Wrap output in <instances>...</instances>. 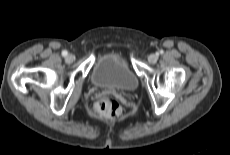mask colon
Returning a JSON list of instances; mask_svg holds the SVG:
<instances>
[{
  "label": "colon",
  "mask_w": 230,
  "mask_h": 155,
  "mask_svg": "<svg viewBox=\"0 0 230 155\" xmlns=\"http://www.w3.org/2000/svg\"><path fill=\"white\" fill-rule=\"evenodd\" d=\"M96 109L106 118H115L122 110L119 102L110 95L102 96L96 103Z\"/></svg>",
  "instance_id": "5ec220e1"
}]
</instances>
